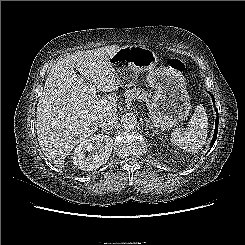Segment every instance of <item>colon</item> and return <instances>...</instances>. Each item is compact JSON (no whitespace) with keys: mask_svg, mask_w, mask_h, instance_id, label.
I'll list each match as a JSON object with an SVG mask.
<instances>
[{"mask_svg":"<svg viewBox=\"0 0 245 245\" xmlns=\"http://www.w3.org/2000/svg\"><path fill=\"white\" fill-rule=\"evenodd\" d=\"M171 67H173L174 69L180 71V72H184L185 71V64L177 59H173L170 63Z\"/></svg>","mask_w":245,"mask_h":245,"instance_id":"1","label":"colon"}]
</instances>
